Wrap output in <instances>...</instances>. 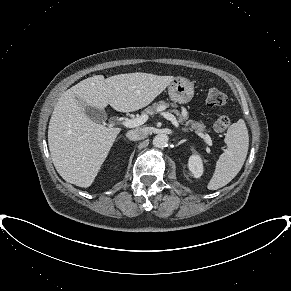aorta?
Here are the masks:
<instances>
[{
    "label": "aorta",
    "instance_id": "1",
    "mask_svg": "<svg viewBox=\"0 0 291 291\" xmlns=\"http://www.w3.org/2000/svg\"><path fill=\"white\" fill-rule=\"evenodd\" d=\"M169 137L166 134H158L153 140L152 144L154 147L163 148L168 144Z\"/></svg>",
    "mask_w": 291,
    "mask_h": 291
}]
</instances>
